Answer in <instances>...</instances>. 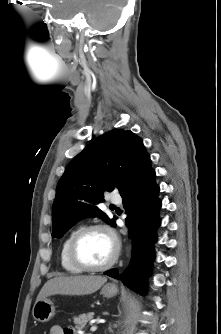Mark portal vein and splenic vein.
Returning <instances> with one entry per match:
<instances>
[{
	"label": "portal vein and splenic vein",
	"instance_id": "1",
	"mask_svg": "<svg viewBox=\"0 0 221 334\" xmlns=\"http://www.w3.org/2000/svg\"><path fill=\"white\" fill-rule=\"evenodd\" d=\"M97 330V326H92L91 328H90V331H92V332H94V331H96Z\"/></svg>",
	"mask_w": 221,
	"mask_h": 334
}]
</instances>
